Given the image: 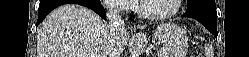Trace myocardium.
I'll list each match as a JSON object with an SVG mask.
<instances>
[{"label": "myocardium", "instance_id": "1", "mask_svg": "<svg viewBox=\"0 0 249 57\" xmlns=\"http://www.w3.org/2000/svg\"><path fill=\"white\" fill-rule=\"evenodd\" d=\"M145 1L146 0L137 1L139 13L144 18L149 19V20H155V21L166 20V19L173 17L180 11L181 6H182V0H175V8L172 11L168 13H164V14H153L146 10Z\"/></svg>", "mask_w": 249, "mask_h": 57}]
</instances>
